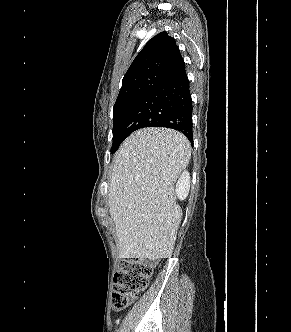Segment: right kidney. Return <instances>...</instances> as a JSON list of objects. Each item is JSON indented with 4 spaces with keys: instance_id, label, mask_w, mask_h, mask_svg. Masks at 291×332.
<instances>
[{
    "instance_id": "1",
    "label": "right kidney",
    "mask_w": 291,
    "mask_h": 332,
    "mask_svg": "<svg viewBox=\"0 0 291 332\" xmlns=\"http://www.w3.org/2000/svg\"><path fill=\"white\" fill-rule=\"evenodd\" d=\"M190 188V175L188 172H183L176 184V194L179 199L183 200L187 197Z\"/></svg>"
}]
</instances>
